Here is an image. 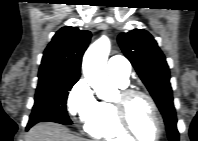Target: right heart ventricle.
Segmentation results:
<instances>
[{"label":"right heart ventricle","instance_id":"right-heart-ventricle-1","mask_svg":"<svg viewBox=\"0 0 198 141\" xmlns=\"http://www.w3.org/2000/svg\"><path fill=\"white\" fill-rule=\"evenodd\" d=\"M124 88L127 84L114 81ZM86 132L100 139L109 141H128L131 139L120 127L112 106L109 101H98L94 115L85 124Z\"/></svg>","mask_w":198,"mask_h":141}]
</instances>
